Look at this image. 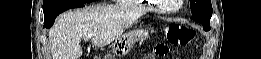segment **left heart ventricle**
<instances>
[{"label":"left heart ventricle","mask_w":261,"mask_h":59,"mask_svg":"<svg viewBox=\"0 0 261 59\" xmlns=\"http://www.w3.org/2000/svg\"><path fill=\"white\" fill-rule=\"evenodd\" d=\"M179 0H162L160 4L165 8H176L179 5Z\"/></svg>","instance_id":"b2bd125f"}]
</instances>
